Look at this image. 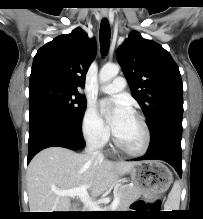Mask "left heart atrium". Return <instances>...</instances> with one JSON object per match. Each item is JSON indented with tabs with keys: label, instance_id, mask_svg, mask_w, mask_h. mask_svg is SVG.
Instances as JSON below:
<instances>
[{
	"label": "left heart atrium",
	"instance_id": "left-heart-atrium-1",
	"mask_svg": "<svg viewBox=\"0 0 203 219\" xmlns=\"http://www.w3.org/2000/svg\"><path fill=\"white\" fill-rule=\"evenodd\" d=\"M101 111L106 115L108 123L113 132L120 124L132 114L128 102L122 98L103 100L100 103Z\"/></svg>",
	"mask_w": 203,
	"mask_h": 219
}]
</instances>
